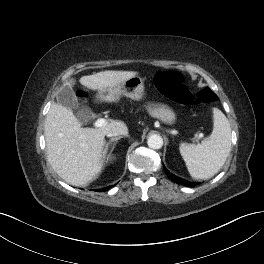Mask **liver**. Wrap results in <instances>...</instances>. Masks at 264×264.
<instances>
[{"label": "liver", "instance_id": "1", "mask_svg": "<svg viewBox=\"0 0 264 264\" xmlns=\"http://www.w3.org/2000/svg\"><path fill=\"white\" fill-rule=\"evenodd\" d=\"M136 75L135 71L108 70L83 76L79 81L88 89L100 92ZM119 130L128 132L122 121H111L99 128H83L72 110L53 103L45 119L48 161L65 182L85 187L97 178L103 168L107 153L105 135Z\"/></svg>", "mask_w": 264, "mask_h": 264}]
</instances>
